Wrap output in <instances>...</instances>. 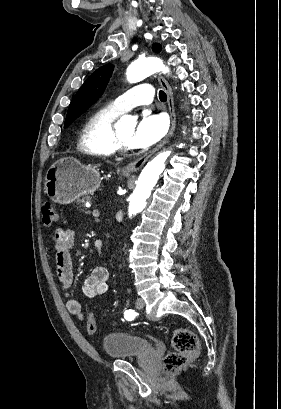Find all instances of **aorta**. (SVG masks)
<instances>
[{"label": "aorta", "instance_id": "762f6f07", "mask_svg": "<svg viewBox=\"0 0 281 409\" xmlns=\"http://www.w3.org/2000/svg\"><path fill=\"white\" fill-rule=\"evenodd\" d=\"M163 71L169 72L163 62L155 57H149L144 59H138L131 63L126 71L127 80L130 83H137L145 79L146 77ZM118 125L120 127H135L136 121L131 116H123ZM170 152H162L154 157L142 170L135 190L130 196V203L128 213L129 216L141 212L146 206V200L149 198L153 187L156 185L159 176L163 172L166 164V160Z\"/></svg>", "mask_w": 281, "mask_h": 409}]
</instances>
